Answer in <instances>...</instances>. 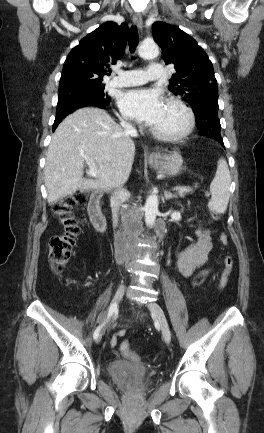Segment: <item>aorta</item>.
I'll return each mask as SVG.
<instances>
[{
	"label": "aorta",
	"mask_w": 264,
	"mask_h": 433,
	"mask_svg": "<svg viewBox=\"0 0 264 433\" xmlns=\"http://www.w3.org/2000/svg\"><path fill=\"white\" fill-rule=\"evenodd\" d=\"M139 56L145 59L156 58L159 55V48L154 42H143L138 49ZM158 196L151 194L145 203V222L149 228H152L156 222L158 214Z\"/></svg>",
	"instance_id": "1"
}]
</instances>
